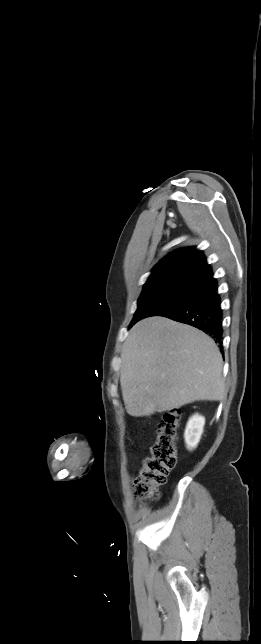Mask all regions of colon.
I'll return each instance as SVG.
<instances>
[{"instance_id":"1","label":"colon","mask_w":261,"mask_h":644,"mask_svg":"<svg viewBox=\"0 0 261 644\" xmlns=\"http://www.w3.org/2000/svg\"><path fill=\"white\" fill-rule=\"evenodd\" d=\"M181 412L172 409L165 412L158 426L157 437L150 452L142 462L133 483L134 495L140 499L155 500L158 490L176 464L178 429Z\"/></svg>"}]
</instances>
